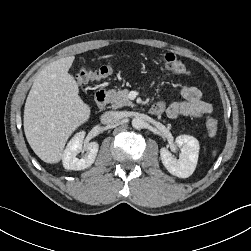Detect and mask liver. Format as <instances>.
Returning a JSON list of instances; mask_svg holds the SVG:
<instances>
[{
  "label": "liver",
  "instance_id": "liver-1",
  "mask_svg": "<svg viewBox=\"0 0 251 251\" xmlns=\"http://www.w3.org/2000/svg\"><path fill=\"white\" fill-rule=\"evenodd\" d=\"M74 59L69 56L46 66L35 78L26 99L25 136L35 154L46 163L62 159L68 138L90 117V107L80 98L79 86L68 73Z\"/></svg>",
  "mask_w": 251,
  "mask_h": 251
}]
</instances>
